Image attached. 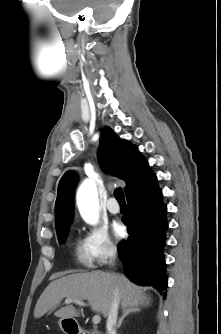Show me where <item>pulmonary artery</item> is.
I'll return each mask as SVG.
<instances>
[{
	"label": "pulmonary artery",
	"instance_id": "e3ab8cb5",
	"mask_svg": "<svg viewBox=\"0 0 221 334\" xmlns=\"http://www.w3.org/2000/svg\"><path fill=\"white\" fill-rule=\"evenodd\" d=\"M106 207L108 211L112 214H117L120 212V206L117 204L115 198L113 197L107 201Z\"/></svg>",
	"mask_w": 221,
	"mask_h": 334
}]
</instances>
